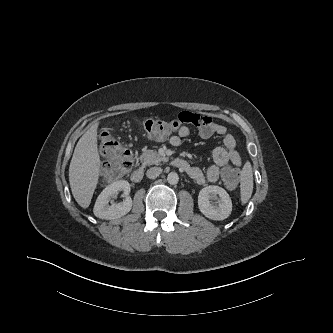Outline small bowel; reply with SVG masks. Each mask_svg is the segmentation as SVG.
I'll return each instance as SVG.
<instances>
[{"label": "small bowel", "instance_id": "small-bowel-1", "mask_svg": "<svg viewBox=\"0 0 333 333\" xmlns=\"http://www.w3.org/2000/svg\"><path fill=\"white\" fill-rule=\"evenodd\" d=\"M178 119L182 125L178 128L177 134L170 139V144L174 147H179L182 139L191 134L189 127L185 124L197 125V134L202 139H208L214 135L222 136V145L217 146L213 150V165L206 171L195 166H189L185 170L196 182L201 184L206 182L214 183L220 178L222 170L228 163H232L235 167L242 165V159L236 150V141L232 135L227 133L224 126L215 123L211 118L191 112H182Z\"/></svg>", "mask_w": 333, "mask_h": 333}]
</instances>
